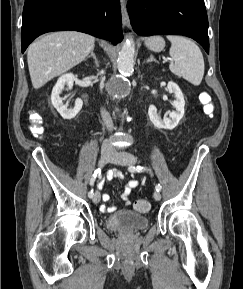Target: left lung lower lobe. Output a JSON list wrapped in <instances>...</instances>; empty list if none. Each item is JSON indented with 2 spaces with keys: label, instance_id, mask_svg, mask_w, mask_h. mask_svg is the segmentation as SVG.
Listing matches in <instances>:
<instances>
[{
  "label": "left lung lower lobe",
  "instance_id": "1",
  "mask_svg": "<svg viewBox=\"0 0 243 289\" xmlns=\"http://www.w3.org/2000/svg\"><path fill=\"white\" fill-rule=\"evenodd\" d=\"M127 10L137 34L188 36L209 53L204 0H129Z\"/></svg>",
  "mask_w": 243,
  "mask_h": 289
}]
</instances>
